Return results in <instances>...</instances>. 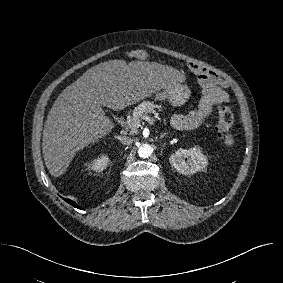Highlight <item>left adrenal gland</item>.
Wrapping results in <instances>:
<instances>
[{
	"label": "left adrenal gland",
	"instance_id": "a2214340",
	"mask_svg": "<svg viewBox=\"0 0 283 283\" xmlns=\"http://www.w3.org/2000/svg\"><path fill=\"white\" fill-rule=\"evenodd\" d=\"M168 133H163L160 135V139L164 138V136H166Z\"/></svg>",
	"mask_w": 283,
	"mask_h": 283
}]
</instances>
